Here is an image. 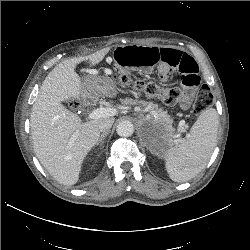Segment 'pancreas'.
Instances as JSON below:
<instances>
[{
  "instance_id": "obj_1",
  "label": "pancreas",
  "mask_w": 250,
  "mask_h": 250,
  "mask_svg": "<svg viewBox=\"0 0 250 250\" xmlns=\"http://www.w3.org/2000/svg\"><path fill=\"white\" fill-rule=\"evenodd\" d=\"M124 105H138L142 104V106L146 107L149 111L152 117H156L157 120H167L170 121L168 115L165 111H163L161 108L158 107V105L152 103V102H146V101H137L133 99H124L121 101ZM165 138L168 142L173 141V134L170 132L165 135Z\"/></svg>"
}]
</instances>
